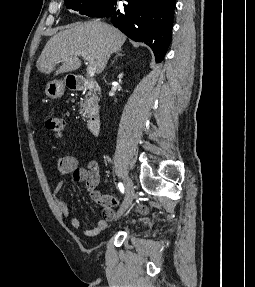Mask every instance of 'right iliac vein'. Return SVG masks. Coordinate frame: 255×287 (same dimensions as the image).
<instances>
[{"label":"right iliac vein","mask_w":255,"mask_h":287,"mask_svg":"<svg viewBox=\"0 0 255 287\" xmlns=\"http://www.w3.org/2000/svg\"><path fill=\"white\" fill-rule=\"evenodd\" d=\"M134 198V185L130 178L125 179V198L116 218H119L132 204Z\"/></svg>","instance_id":"1"}]
</instances>
